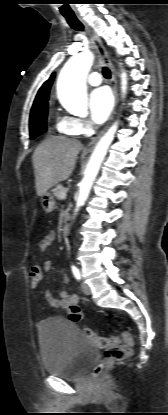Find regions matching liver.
Instances as JSON below:
<instances>
[{"label":"liver","mask_w":168,"mask_h":415,"mask_svg":"<svg viewBox=\"0 0 168 415\" xmlns=\"http://www.w3.org/2000/svg\"><path fill=\"white\" fill-rule=\"evenodd\" d=\"M82 147L81 142L75 139L50 137L35 149L32 160L38 196H43L71 175Z\"/></svg>","instance_id":"liver-1"}]
</instances>
